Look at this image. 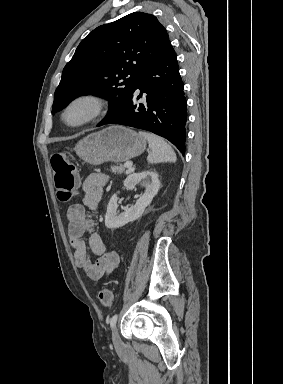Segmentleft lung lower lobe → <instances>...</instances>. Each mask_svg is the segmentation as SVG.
<instances>
[{
  "mask_svg": "<svg viewBox=\"0 0 283 384\" xmlns=\"http://www.w3.org/2000/svg\"><path fill=\"white\" fill-rule=\"evenodd\" d=\"M138 89L140 95L137 96ZM145 93V103L138 99ZM186 97L177 58L169 43L158 59L137 80L126 107L105 124H121L153 132L168 139L184 155Z\"/></svg>",
  "mask_w": 283,
  "mask_h": 384,
  "instance_id": "0a47b994",
  "label": "left lung lower lobe"
}]
</instances>
